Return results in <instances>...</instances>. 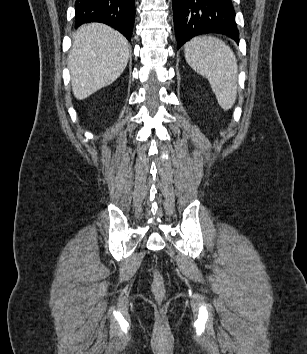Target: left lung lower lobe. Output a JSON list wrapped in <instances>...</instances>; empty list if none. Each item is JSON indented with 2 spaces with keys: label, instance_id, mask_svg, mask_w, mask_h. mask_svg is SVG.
I'll return each mask as SVG.
<instances>
[{
  "label": "left lung lower lobe",
  "instance_id": "0a47b994",
  "mask_svg": "<svg viewBox=\"0 0 307 354\" xmlns=\"http://www.w3.org/2000/svg\"><path fill=\"white\" fill-rule=\"evenodd\" d=\"M178 49L192 37L220 33L239 43L231 0H172Z\"/></svg>",
  "mask_w": 307,
  "mask_h": 354
}]
</instances>
